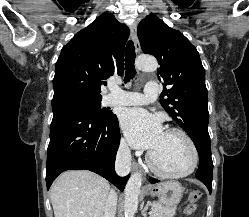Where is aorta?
<instances>
[{"instance_id":"762f6f07","label":"aorta","mask_w":249,"mask_h":217,"mask_svg":"<svg viewBox=\"0 0 249 217\" xmlns=\"http://www.w3.org/2000/svg\"><path fill=\"white\" fill-rule=\"evenodd\" d=\"M136 67L146 72L156 71L157 60L151 56H139L136 60ZM142 176L136 172L129 178L125 187L124 214L125 217H134L138 208V196L141 191Z\"/></svg>"}]
</instances>
